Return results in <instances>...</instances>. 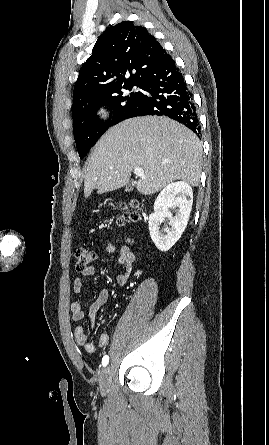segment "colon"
<instances>
[{
  "mask_svg": "<svg viewBox=\"0 0 269 445\" xmlns=\"http://www.w3.org/2000/svg\"><path fill=\"white\" fill-rule=\"evenodd\" d=\"M138 201H131L129 204H124L120 207V214L117 217L118 224H124L129 221H137L139 214L136 209L138 208ZM95 252L88 247L80 246L75 251V267L78 271H83L89 267L95 260Z\"/></svg>",
  "mask_w": 269,
  "mask_h": 445,
  "instance_id": "5ec220e1",
  "label": "colon"
}]
</instances>
